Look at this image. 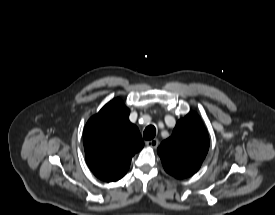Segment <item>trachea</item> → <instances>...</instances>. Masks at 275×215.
<instances>
[{
	"label": "trachea",
	"instance_id": "1",
	"mask_svg": "<svg viewBox=\"0 0 275 215\" xmlns=\"http://www.w3.org/2000/svg\"><path fill=\"white\" fill-rule=\"evenodd\" d=\"M156 128L153 125H149L146 127L143 133V137L145 140H152L155 137Z\"/></svg>",
	"mask_w": 275,
	"mask_h": 215
}]
</instances>
